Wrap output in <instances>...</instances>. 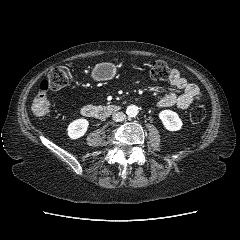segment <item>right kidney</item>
<instances>
[{
    "instance_id": "right-kidney-1",
    "label": "right kidney",
    "mask_w": 240,
    "mask_h": 240,
    "mask_svg": "<svg viewBox=\"0 0 240 240\" xmlns=\"http://www.w3.org/2000/svg\"><path fill=\"white\" fill-rule=\"evenodd\" d=\"M88 126L89 122L84 118L74 120L68 125V136L71 139H78L86 133Z\"/></svg>"
}]
</instances>
